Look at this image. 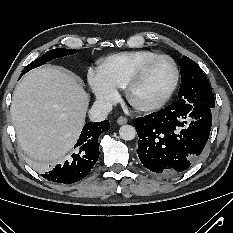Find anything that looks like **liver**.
<instances>
[{
    "mask_svg": "<svg viewBox=\"0 0 233 233\" xmlns=\"http://www.w3.org/2000/svg\"><path fill=\"white\" fill-rule=\"evenodd\" d=\"M88 102L83 85L66 70L30 71L16 86L10 108L23 151L39 162L62 158L80 135Z\"/></svg>",
    "mask_w": 233,
    "mask_h": 233,
    "instance_id": "obj_1",
    "label": "liver"
}]
</instances>
